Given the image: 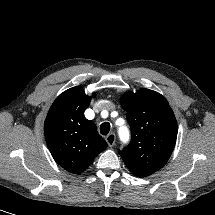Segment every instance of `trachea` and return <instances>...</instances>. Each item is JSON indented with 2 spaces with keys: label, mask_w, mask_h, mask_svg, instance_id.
<instances>
[{
  "label": "trachea",
  "mask_w": 215,
  "mask_h": 215,
  "mask_svg": "<svg viewBox=\"0 0 215 215\" xmlns=\"http://www.w3.org/2000/svg\"><path fill=\"white\" fill-rule=\"evenodd\" d=\"M109 131H110V123H108V122L102 123L100 126V133L102 135H107L109 133Z\"/></svg>",
  "instance_id": "trachea-1"
}]
</instances>
